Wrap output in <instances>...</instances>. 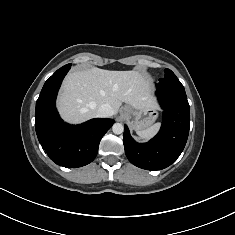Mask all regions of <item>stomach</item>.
I'll list each match as a JSON object with an SVG mask.
<instances>
[{"instance_id":"obj_1","label":"stomach","mask_w":235,"mask_h":235,"mask_svg":"<svg viewBox=\"0 0 235 235\" xmlns=\"http://www.w3.org/2000/svg\"><path fill=\"white\" fill-rule=\"evenodd\" d=\"M125 111L131 127L137 132L147 129L158 118V111L155 106H144L141 108L126 106Z\"/></svg>"}]
</instances>
